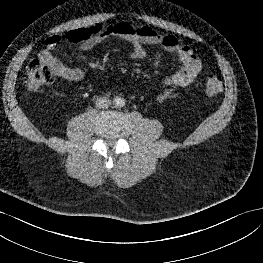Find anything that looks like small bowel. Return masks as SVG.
I'll list each match as a JSON object with an SVG mask.
<instances>
[{"label":"small bowel","instance_id":"1","mask_svg":"<svg viewBox=\"0 0 263 263\" xmlns=\"http://www.w3.org/2000/svg\"><path fill=\"white\" fill-rule=\"evenodd\" d=\"M112 36L122 38L130 44V56L134 60L145 58L144 45L147 44L160 45L177 56L181 66L164 80L165 88L158 94V102L166 101L176 89L192 84L201 71V60L190 46L181 44L177 37L162 35L150 27L134 26L127 22L79 28L51 35L45 39L44 48L39 53V60L49 66L57 76L78 82L84 78V72L81 69L66 66L53 55V50L60 44L76 43L80 45L81 50L87 51Z\"/></svg>","mask_w":263,"mask_h":263}]
</instances>
